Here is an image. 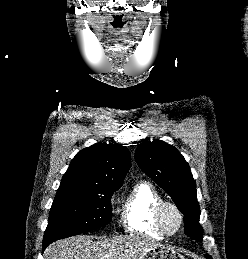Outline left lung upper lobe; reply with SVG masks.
<instances>
[{
    "mask_svg": "<svg viewBox=\"0 0 248 259\" xmlns=\"http://www.w3.org/2000/svg\"><path fill=\"white\" fill-rule=\"evenodd\" d=\"M140 168L162 187L185 215L184 232L197 241L203 238L195 180L179 151L162 141L143 142L135 151Z\"/></svg>",
    "mask_w": 248,
    "mask_h": 259,
    "instance_id": "obj_1",
    "label": "left lung upper lobe"
}]
</instances>
